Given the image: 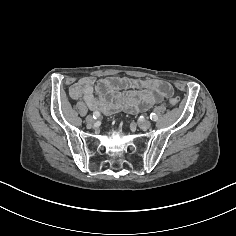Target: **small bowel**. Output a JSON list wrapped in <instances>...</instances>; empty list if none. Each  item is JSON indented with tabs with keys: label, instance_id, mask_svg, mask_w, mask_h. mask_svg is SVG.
Here are the masks:
<instances>
[{
	"label": "small bowel",
	"instance_id": "1",
	"mask_svg": "<svg viewBox=\"0 0 236 236\" xmlns=\"http://www.w3.org/2000/svg\"><path fill=\"white\" fill-rule=\"evenodd\" d=\"M173 94V87L166 81L119 76L98 82L93 77H83L69 88L71 99L83 100L91 110L104 115L121 110L145 111Z\"/></svg>",
	"mask_w": 236,
	"mask_h": 236
}]
</instances>
